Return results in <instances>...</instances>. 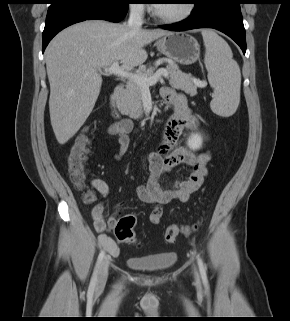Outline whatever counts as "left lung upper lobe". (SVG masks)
Masks as SVG:
<instances>
[{
	"label": "left lung upper lobe",
	"instance_id": "5c2ea615",
	"mask_svg": "<svg viewBox=\"0 0 290 321\" xmlns=\"http://www.w3.org/2000/svg\"><path fill=\"white\" fill-rule=\"evenodd\" d=\"M193 4H195V8H199L202 5H204L206 2H208L209 0H191Z\"/></svg>",
	"mask_w": 290,
	"mask_h": 321
}]
</instances>
